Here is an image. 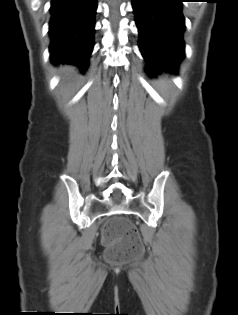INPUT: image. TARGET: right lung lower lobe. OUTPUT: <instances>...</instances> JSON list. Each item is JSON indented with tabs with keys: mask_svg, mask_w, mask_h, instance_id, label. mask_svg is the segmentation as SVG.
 I'll return each mask as SVG.
<instances>
[{
	"mask_svg": "<svg viewBox=\"0 0 238 315\" xmlns=\"http://www.w3.org/2000/svg\"><path fill=\"white\" fill-rule=\"evenodd\" d=\"M97 0H51L50 59L84 71L94 46Z\"/></svg>",
	"mask_w": 238,
	"mask_h": 315,
	"instance_id": "right-lung-lower-lobe-1",
	"label": "right lung lower lobe"
}]
</instances>
